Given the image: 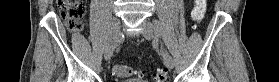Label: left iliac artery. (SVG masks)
Wrapping results in <instances>:
<instances>
[{
  "label": "left iliac artery",
  "mask_w": 279,
  "mask_h": 82,
  "mask_svg": "<svg viewBox=\"0 0 279 82\" xmlns=\"http://www.w3.org/2000/svg\"><path fill=\"white\" fill-rule=\"evenodd\" d=\"M154 23L156 24L157 27L159 26L157 20H154ZM159 35H160V34H159ZM161 35H162V34H161Z\"/></svg>",
  "instance_id": "1"
}]
</instances>
